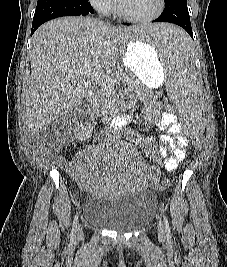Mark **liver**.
<instances>
[{
    "label": "liver",
    "instance_id": "obj_1",
    "mask_svg": "<svg viewBox=\"0 0 227 267\" xmlns=\"http://www.w3.org/2000/svg\"><path fill=\"white\" fill-rule=\"evenodd\" d=\"M135 31L91 17H63L40 26L29 51L32 71L25 98L28 131L37 133L80 104L89 81L74 77L70 71L113 68L119 59L117 44L127 42V34Z\"/></svg>",
    "mask_w": 227,
    "mask_h": 267
}]
</instances>
